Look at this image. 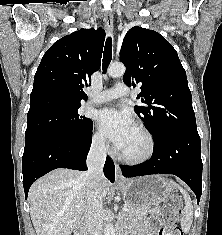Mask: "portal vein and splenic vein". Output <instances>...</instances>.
<instances>
[{
	"label": "portal vein and splenic vein",
	"instance_id": "18ae733b",
	"mask_svg": "<svg viewBox=\"0 0 222 235\" xmlns=\"http://www.w3.org/2000/svg\"><path fill=\"white\" fill-rule=\"evenodd\" d=\"M123 211L128 212V211H129V208H128L127 206H124V207H123Z\"/></svg>",
	"mask_w": 222,
	"mask_h": 235
}]
</instances>
